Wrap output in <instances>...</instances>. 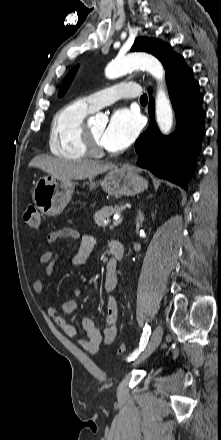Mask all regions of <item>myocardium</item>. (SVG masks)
Wrapping results in <instances>:
<instances>
[{
    "instance_id": "f54148a6",
    "label": "myocardium",
    "mask_w": 221,
    "mask_h": 440,
    "mask_svg": "<svg viewBox=\"0 0 221 440\" xmlns=\"http://www.w3.org/2000/svg\"><path fill=\"white\" fill-rule=\"evenodd\" d=\"M81 135L84 148L89 156L102 157L106 154L105 149L100 144H98V142L91 134L86 122H84L82 125Z\"/></svg>"
}]
</instances>
